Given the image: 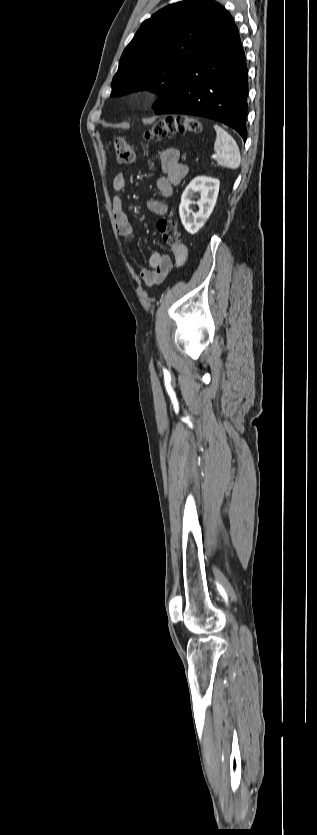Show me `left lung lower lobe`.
Returning <instances> with one entry per match:
<instances>
[{
	"instance_id": "obj_1",
	"label": "left lung lower lobe",
	"mask_w": 317,
	"mask_h": 835,
	"mask_svg": "<svg viewBox=\"0 0 317 835\" xmlns=\"http://www.w3.org/2000/svg\"><path fill=\"white\" fill-rule=\"evenodd\" d=\"M248 69L238 29L226 12L187 67L178 98L155 114H190L236 130L246 141Z\"/></svg>"
}]
</instances>
